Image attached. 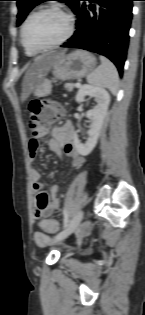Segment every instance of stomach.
<instances>
[{"label": "stomach", "instance_id": "0dacf381", "mask_svg": "<svg viewBox=\"0 0 145 315\" xmlns=\"http://www.w3.org/2000/svg\"><path fill=\"white\" fill-rule=\"evenodd\" d=\"M96 67V58L87 51L76 50L61 55L51 68L52 74L59 80H73L88 76Z\"/></svg>", "mask_w": 145, "mask_h": 315}]
</instances>
